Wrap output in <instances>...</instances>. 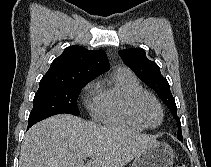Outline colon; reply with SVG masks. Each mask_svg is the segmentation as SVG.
Returning a JSON list of instances; mask_svg holds the SVG:
<instances>
[{"label": "colon", "mask_w": 211, "mask_h": 167, "mask_svg": "<svg viewBox=\"0 0 211 167\" xmlns=\"http://www.w3.org/2000/svg\"><path fill=\"white\" fill-rule=\"evenodd\" d=\"M176 167H187L185 163H180Z\"/></svg>", "instance_id": "colon-1"}]
</instances>
